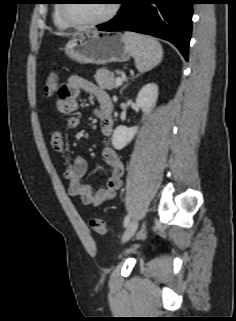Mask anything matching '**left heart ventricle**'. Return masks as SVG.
I'll return each instance as SVG.
<instances>
[{"instance_id": "left-heart-ventricle-1", "label": "left heart ventricle", "mask_w": 236, "mask_h": 321, "mask_svg": "<svg viewBox=\"0 0 236 321\" xmlns=\"http://www.w3.org/2000/svg\"><path fill=\"white\" fill-rule=\"evenodd\" d=\"M109 0H78L67 6L68 15L79 22H90L106 16L111 8Z\"/></svg>"}]
</instances>
